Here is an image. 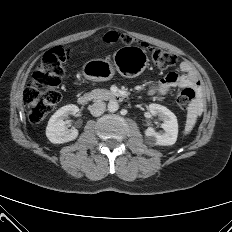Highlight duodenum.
Here are the masks:
<instances>
[{"label":"duodenum","instance_id":"obj_1","mask_svg":"<svg viewBox=\"0 0 232 232\" xmlns=\"http://www.w3.org/2000/svg\"><path fill=\"white\" fill-rule=\"evenodd\" d=\"M110 99L112 101H117V102H121L127 99V96L123 93L120 92H115V93H111L110 94ZM90 100V96L89 94H81L80 96H78L77 98V102L79 105L85 106L88 104Z\"/></svg>","mask_w":232,"mask_h":232}]
</instances>
